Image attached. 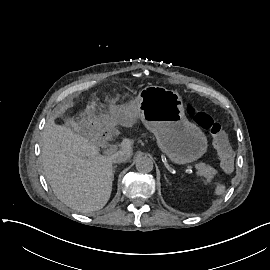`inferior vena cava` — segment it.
I'll return each instance as SVG.
<instances>
[{"mask_svg":"<svg viewBox=\"0 0 270 270\" xmlns=\"http://www.w3.org/2000/svg\"><path fill=\"white\" fill-rule=\"evenodd\" d=\"M130 156L128 154L123 153L122 151H118L111 156V160L113 163H122L126 162Z\"/></svg>","mask_w":270,"mask_h":270,"instance_id":"602c4592","label":"inferior vena cava"}]
</instances>
